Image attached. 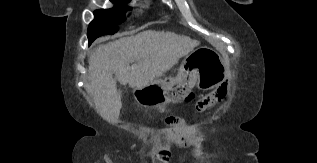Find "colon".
<instances>
[{
  "instance_id": "1",
  "label": "colon",
  "mask_w": 317,
  "mask_h": 163,
  "mask_svg": "<svg viewBox=\"0 0 317 163\" xmlns=\"http://www.w3.org/2000/svg\"><path fill=\"white\" fill-rule=\"evenodd\" d=\"M227 93V85H222L221 87H218L217 89L213 90L212 92L201 96L197 102H196V108L199 111H204L217 102H220Z\"/></svg>"
}]
</instances>
